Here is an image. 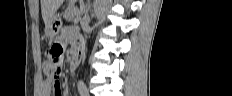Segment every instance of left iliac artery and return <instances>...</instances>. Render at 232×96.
<instances>
[{
  "mask_svg": "<svg viewBox=\"0 0 232 96\" xmlns=\"http://www.w3.org/2000/svg\"><path fill=\"white\" fill-rule=\"evenodd\" d=\"M79 92L82 96H88V90L85 85L80 86Z\"/></svg>",
  "mask_w": 232,
  "mask_h": 96,
  "instance_id": "left-iliac-artery-1",
  "label": "left iliac artery"
}]
</instances>
